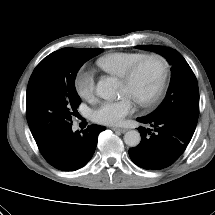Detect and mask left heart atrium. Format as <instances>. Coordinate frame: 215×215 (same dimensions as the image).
Segmentation results:
<instances>
[{
  "mask_svg": "<svg viewBox=\"0 0 215 215\" xmlns=\"http://www.w3.org/2000/svg\"><path fill=\"white\" fill-rule=\"evenodd\" d=\"M133 111V99L129 95H124L119 100L106 101L100 104L93 112V119L104 125H119Z\"/></svg>",
  "mask_w": 215,
  "mask_h": 215,
  "instance_id": "left-heart-atrium-1",
  "label": "left heart atrium"
}]
</instances>
